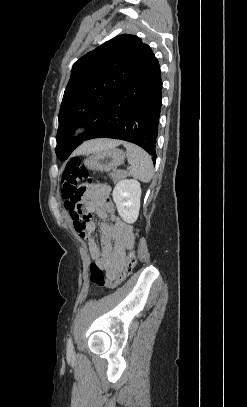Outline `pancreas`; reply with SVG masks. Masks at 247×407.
I'll list each match as a JSON object with an SVG mask.
<instances>
[{
    "label": "pancreas",
    "mask_w": 247,
    "mask_h": 407,
    "mask_svg": "<svg viewBox=\"0 0 247 407\" xmlns=\"http://www.w3.org/2000/svg\"><path fill=\"white\" fill-rule=\"evenodd\" d=\"M109 176L116 183V182L120 181L121 179L125 178L127 176V173L125 171H118V172L110 173Z\"/></svg>",
    "instance_id": "pancreas-1"
}]
</instances>
